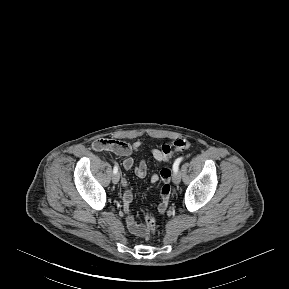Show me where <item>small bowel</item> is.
<instances>
[{"instance_id": "c3829d8e", "label": "small bowel", "mask_w": 289, "mask_h": 289, "mask_svg": "<svg viewBox=\"0 0 289 289\" xmlns=\"http://www.w3.org/2000/svg\"><path fill=\"white\" fill-rule=\"evenodd\" d=\"M142 141L141 140H136L133 143H128L122 140L118 139H97L93 143V148L95 150L101 151V150H106V151H111L114 154L123 157L122 160V165L126 170H130L134 167V159L132 158V153L136 152L141 146H142ZM153 158L158 161V162H164L162 156H161V151L160 149L154 148L151 150ZM147 162L145 160H141L138 165L135 167V174L140 177L144 178L147 175ZM159 173L160 176L157 174H154L150 178V182L152 184L156 183L159 181L160 178L161 180V185H160V201L161 204L158 207V212L160 214H165L167 212V209L169 207V200H170V192H171V184L170 180L172 177V171L171 169L161 166L159 168ZM123 186L126 188V191L124 192L123 195V203H124V211L126 213V225L128 230L134 234L137 237L145 238L147 237L146 233V228L145 225L139 224L135 221L133 215L131 214L130 211V204L133 200V194L131 191L127 189V182L123 181Z\"/></svg>"}]
</instances>
